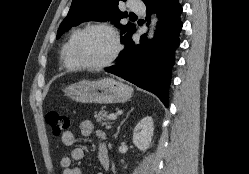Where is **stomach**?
Returning <instances> with one entry per match:
<instances>
[{"label":"stomach","instance_id":"1","mask_svg":"<svg viewBox=\"0 0 249 174\" xmlns=\"http://www.w3.org/2000/svg\"><path fill=\"white\" fill-rule=\"evenodd\" d=\"M65 95L81 103L112 104L130 99L132 88L113 78L97 81L83 80L66 87Z\"/></svg>","mask_w":249,"mask_h":174}]
</instances>
